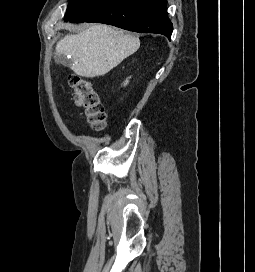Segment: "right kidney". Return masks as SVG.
Returning <instances> with one entry per match:
<instances>
[{
    "mask_svg": "<svg viewBox=\"0 0 255 272\" xmlns=\"http://www.w3.org/2000/svg\"><path fill=\"white\" fill-rule=\"evenodd\" d=\"M128 83V80H126V82H125V84L124 85H126Z\"/></svg>",
    "mask_w": 255,
    "mask_h": 272,
    "instance_id": "obj_1",
    "label": "right kidney"
}]
</instances>
